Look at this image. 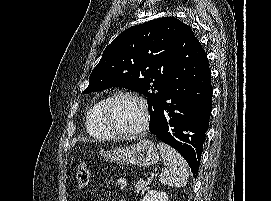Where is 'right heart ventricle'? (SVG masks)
<instances>
[{"mask_svg": "<svg viewBox=\"0 0 271 201\" xmlns=\"http://www.w3.org/2000/svg\"><path fill=\"white\" fill-rule=\"evenodd\" d=\"M106 98H101L95 102L87 112L86 115V129L87 132L96 138L110 139L114 135L104 124L102 119V108Z\"/></svg>", "mask_w": 271, "mask_h": 201, "instance_id": "e07e8e85", "label": "right heart ventricle"}]
</instances>
